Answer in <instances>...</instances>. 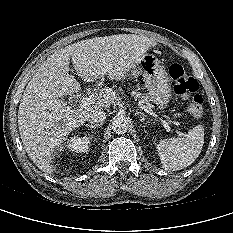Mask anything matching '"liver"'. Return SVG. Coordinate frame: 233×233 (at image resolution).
<instances>
[{"mask_svg": "<svg viewBox=\"0 0 233 233\" xmlns=\"http://www.w3.org/2000/svg\"><path fill=\"white\" fill-rule=\"evenodd\" d=\"M156 44L153 39L135 34L95 37L57 50L37 69L19 105L18 127L25 151L41 171L54 173L50 164L53 153L67 135L83 125L93 110L109 108L116 99L115 91L104 88L92 106L83 109L67 106L60 98L81 89L69 73V60L85 82L105 76L118 81L125 79Z\"/></svg>", "mask_w": 233, "mask_h": 233, "instance_id": "obj_1", "label": "liver"}]
</instances>
